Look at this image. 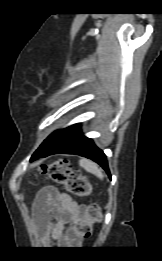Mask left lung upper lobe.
<instances>
[{"mask_svg":"<svg viewBox=\"0 0 162 261\" xmlns=\"http://www.w3.org/2000/svg\"><path fill=\"white\" fill-rule=\"evenodd\" d=\"M80 127V124H74L64 129H59L51 133L47 139L40 145V147L32 155L30 161H34L42 157L46 152H48L53 146H55L60 140L65 138L67 135L72 133L74 130Z\"/></svg>","mask_w":162,"mask_h":261,"instance_id":"obj_1","label":"left lung upper lobe"}]
</instances>
